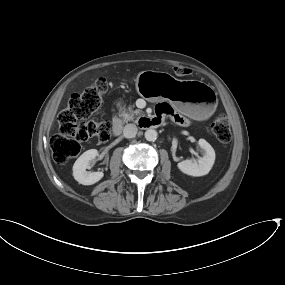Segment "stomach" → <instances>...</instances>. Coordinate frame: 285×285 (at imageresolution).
Masks as SVG:
<instances>
[{
	"label": "stomach",
	"instance_id": "stomach-1",
	"mask_svg": "<svg viewBox=\"0 0 285 285\" xmlns=\"http://www.w3.org/2000/svg\"><path fill=\"white\" fill-rule=\"evenodd\" d=\"M136 90L150 102L168 100L182 114L204 120L217 106L213 89L198 80H179L166 72L146 70L135 80Z\"/></svg>",
	"mask_w": 285,
	"mask_h": 285
}]
</instances>
